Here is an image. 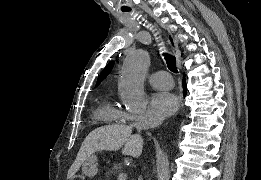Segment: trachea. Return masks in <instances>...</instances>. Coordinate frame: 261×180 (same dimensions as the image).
I'll return each mask as SVG.
<instances>
[{
	"label": "trachea",
	"mask_w": 261,
	"mask_h": 180,
	"mask_svg": "<svg viewBox=\"0 0 261 180\" xmlns=\"http://www.w3.org/2000/svg\"><path fill=\"white\" fill-rule=\"evenodd\" d=\"M126 11H128V10H126ZM163 55L166 60L168 69L173 73H178L175 57L172 56L171 54H167L166 52H164Z\"/></svg>",
	"instance_id": "obj_1"
}]
</instances>
